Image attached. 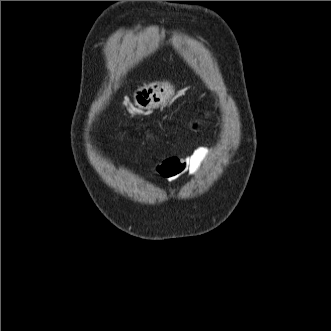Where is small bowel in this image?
<instances>
[{
  "mask_svg": "<svg viewBox=\"0 0 331 331\" xmlns=\"http://www.w3.org/2000/svg\"><path fill=\"white\" fill-rule=\"evenodd\" d=\"M209 152V148L200 146L185 157H171L159 162L154 172L167 181H173L184 173L194 175L205 163Z\"/></svg>",
  "mask_w": 331,
  "mask_h": 331,
  "instance_id": "small-bowel-1",
  "label": "small bowel"
}]
</instances>
